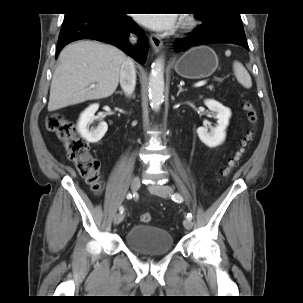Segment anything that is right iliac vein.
Listing matches in <instances>:
<instances>
[{
	"label": "right iliac vein",
	"instance_id": "obj_1",
	"mask_svg": "<svg viewBox=\"0 0 303 303\" xmlns=\"http://www.w3.org/2000/svg\"><path fill=\"white\" fill-rule=\"evenodd\" d=\"M141 182H140V178L139 177H134L131 181V189L133 192H136L139 188H140ZM124 219V214H117L114 217V225H118L120 224Z\"/></svg>",
	"mask_w": 303,
	"mask_h": 303
}]
</instances>
